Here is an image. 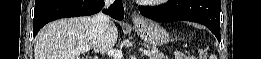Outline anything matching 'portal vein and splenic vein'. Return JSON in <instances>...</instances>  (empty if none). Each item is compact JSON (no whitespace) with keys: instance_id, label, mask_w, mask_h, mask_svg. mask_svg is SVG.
<instances>
[{"instance_id":"portal-vein-and-splenic-vein-1","label":"portal vein and splenic vein","mask_w":261,"mask_h":59,"mask_svg":"<svg viewBox=\"0 0 261 59\" xmlns=\"http://www.w3.org/2000/svg\"><path fill=\"white\" fill-rule=\"evenodd\" d=\"M91 48L86 46V47H81V48H78L74 51L75 54H81V53H84V52H87L89 51ZM143 54L147 55V56H150L151 53L150 51L148 50H144L143 51ZM108 55L109 56H113L115 59H122L123 58V54H122V51L121 50H115V49H110L108 50Z\"/></svg>"}]
</instances>
